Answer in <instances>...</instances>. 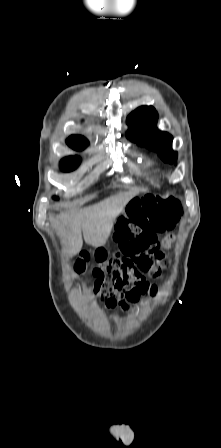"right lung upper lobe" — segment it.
I'll return each mask as SVG.
<instances>
[{"mask_svg":"<svg viewBox=\"0 0 221 448\" xmlns=\"http://www.w3.org/2000/svg\"><path fill=\"white\" fill-rule=\"evenodd\" d=\"M66 142L71 148L79 151L85 149L89 144L88 140L80 135H72L67 139ZM76 158L79 159L78 157Z\"/></svg>","mask_w":221,"mask_h":448,"instance_id":"obj_1","label":"right lung upper lobe"}]
</instances>
